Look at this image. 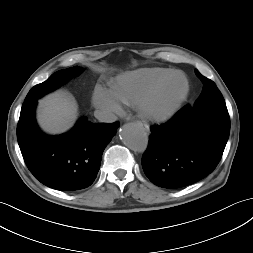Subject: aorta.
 <instances>
[{"instance_id":"aorta-1","label":"aorta","mask_w":253,"mask_h":253,"mask_svg":"<svg viewBox=\"0 0 253 253\" xmlns=\"http://www.w3.org/2000/svg\"><path fill=\"white\" fill-rule=\"evenodd\" d=\"M122 142L131 150L144 152L148 145V135L138 123H127L120 131Z\"/></svg>"}]
</instances>
